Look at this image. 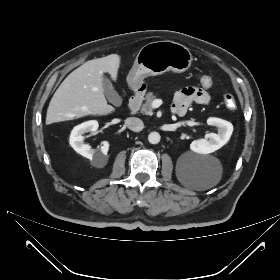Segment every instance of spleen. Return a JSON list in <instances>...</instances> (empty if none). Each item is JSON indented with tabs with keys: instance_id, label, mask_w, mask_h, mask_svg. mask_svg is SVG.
Masks as SVG:
<instances>
[{
	"instance_id": "obj_1",
	"label": "spleen",
	"mask_w": 280,
	"mask_h": 280,
	"mask_svg": "<svg viewBox=\"0 0 280 280\" xmlns=\"http://www.w3.org/2000/svg\"><path fill=\"white\" fill-rule=\"evenodd\" d=\"M217 183H218V181L208 182V183L205 185V188H206V189L211 188V187L215 186Z\"/></svg>"
}]
</instances>
